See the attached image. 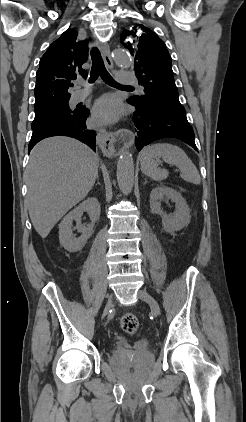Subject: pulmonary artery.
Masks as SVG:
<instances>
[{"mask_svg": "<svg viewBox=\"0 0 246 422\" xmlns=\"http://www.w3.org/2000/svg\"><path fill=\"white\" fill-rule=\"evenodd\" d=\"M118 81L124 85L138 84L136 76L129 71H120L118 73ZM91 93V88L86 86L83 89L76 90L71 96V102L77 103L85 99Z\"/></svg>", "mask_w": 246, "mask_h": 422, "instance_id": "obj_1", "label": "pulmonary artery"}]
</instances>
